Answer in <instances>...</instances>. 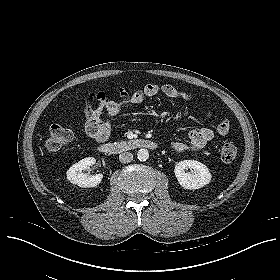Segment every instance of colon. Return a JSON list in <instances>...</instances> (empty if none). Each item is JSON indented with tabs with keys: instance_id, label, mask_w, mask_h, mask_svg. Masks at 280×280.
<instances>
[{
	"instance_id": "obj_1",
	"label": "colon",
	"mask_w": 280,
	"mask_h": 280,
	"mask_svg": "<svg viewBox=\"0 0 280 280\" xmlns=\"http://www.w3.org/2000/svg\"><path fill=\"white\" fill-rule=\"evenodd\" d=\"M223 123L230 124L229 120L222 119ZM89 132L94 136L99 137L101 132L95 127L90 126ZM73 139V132L70 128L55 124L49 128L48 139L46 143L47 150L52 154H58L64 146H66ZM237 156V147L233 143H226L221 148V159L224 162H232Z\"/></svg>"
}]
</instances>
